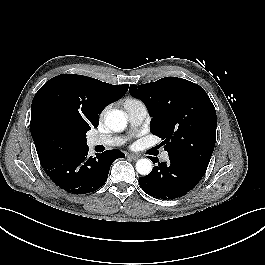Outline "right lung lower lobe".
<instances>
[{
    "instance_id": "obj_1",
    "label": "right lung lower lobe",
    "mask_w": 265,
    "mask_h": 265,
    "mask_svg": "<svg viewBox=\"0 0 265 265\" xmlns=\"http://www.w3.org/2000/svg\"><path fill=\"white\" fill-rule=\"evenodd\" d=\"M123 157L125 155L119 150H108L92 157L85 146L40 162L60 188L74 194H86L99 189L107 180L111 164Z\"/></svg>"
}]
</instances>
